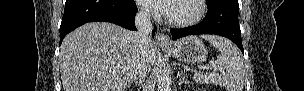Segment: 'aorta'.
Here are the masks:
<instances>
[{
	"instance_id": "aorta-1",
	"label": "aorta",
	"mask_w": 304,
	"mask_h": 91,
	"mask_svg": "<svg viewBox=\"0 0 304 91\" xmlns=\"http://www.w3.org/2000/svg\"><path fill=\"white\" fill-rule=\"evenodd\" d=\"M157 85L158 91H171L172 79L165 68L159 71Z\"/></svg>"
}]
</instances>
